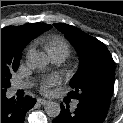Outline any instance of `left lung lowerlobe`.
<instances>
[{"label": "left lung lower lobe", "mask_w": 123, "mask_h": 123, "mask_svg": "<svg viewBox=\"0 0 123 123\" xmlns=\"http://www.w3.org/2000/svg\"><path fill=\"white\" fill-rule=\"evenodd\" d=\"M108 109L79 101L74 112H70L69 106L61 103V112L53 120V123H102Z\"/></svg>", "instance_id": "1"}]
</instances>
